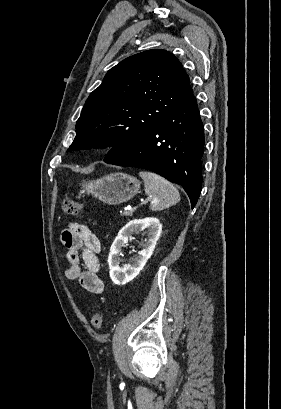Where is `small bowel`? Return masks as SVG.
Here are the masks:
<instances>
[{
    "instance_id": "small-bowel-1",
    "label": "small bowel",
    "mask_w": 281,
    "mask_h": 409,
    "mask_svg": "<svg viewBox=\"0 0 281 409\" xmlns=\"http://www.w3.org/2000/svg\"><path fill=\"white\" fill-rule=\"evenodd\" d=\"M62 244L67 249L68 267L65 276L76 280L87 291L100 294L103 283L98 275V255L101 241L90 227L80 223H70L61 233Z\"/></svg>"
}]
</instances>
